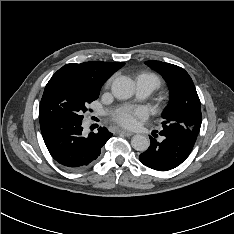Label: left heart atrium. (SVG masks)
I'll return each mask as SVG.
<instances>
[{"label":"left heart atrium","mask_w":234,"mask_h":234,"mask_svg":"<svg viewBox=\"0 0 234 234\" xmlns=\"http://www.w3.org/2000/svg\"><path fill=\"white\" fill-rule=\"evenodd\" d=\"M146 115L143 109H125L115 115V120L126 128H133L140 118Z\"/></svg>","instance_id":"obj_1"}]
</instances>
